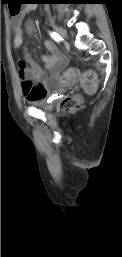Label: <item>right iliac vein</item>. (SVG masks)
Returning <instances> with one entry per match:
<instances>
[{
  "label": "right iliac vein",
  "mask_w": 122,
  "mask_h": 257,
  "mask_svg": "<svg viewBox=\"0 0 122 257\" xmlns=\"http://www.w3.org/2000/svg\"><path fill=\"white\" fill-rule=\"evenodd\" d=\"M49 22L53 29L57 32V34L62 37H66L67 33L62 27L57 26L52 19H49Z\"/></svg>",
  "instance_id": "obj_1"
}]
</instances>
